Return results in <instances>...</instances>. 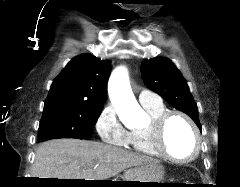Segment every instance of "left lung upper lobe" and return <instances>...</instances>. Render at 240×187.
<instances>
[{"label": "left lung upper lobe", "mask_w": 240, "mask_h": 187, "mask_svg": "<svg viewBox=\"0 0 240 187\" xmlns=\"http://www.w3.org/2000/svg\"><path fill=\"white\" fill-rule=\"evenodd\" d=\"M141 74L147 87L176 109L189 115L201 129L198 107L186 80L176 66L167 58L146 59L141 65Z\"/></svg>", "instance_id": "5c2ea615"}]
</instances>
